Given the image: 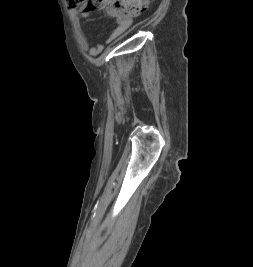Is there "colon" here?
Here are the masks:
<instances>
[{"label":"colon","mask_w":253,"mask_h":267,"mask_svg":"<svg viewBox=\"0 0 253 267\" xmlns=\"http://www.w3.org/2000/svg\"><path fill=\"white\" fill-rule=\"evenodd\" d=\"M115 4L124 15L134 17L145 11L148 0H66L68 9L76 12H90Z\"/></svg>","instance_id":"colon-1"}]
</instances>
